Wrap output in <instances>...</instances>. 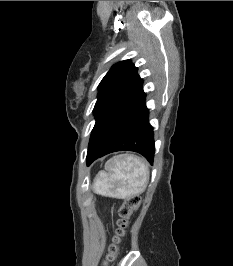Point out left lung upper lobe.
<instances>
[{"instance_id": "5c2ea615", "label": "left lung upper lobe", "mask_w": 233, "mask_h": 266, "mask_svg": "<svg viewBox=\"0 0 233 266\" xmlns=\"http://www.w3.org/2000/svg\"><path fill=\"white\" fill-rule=\"evenodd\" d=\"M137 77V68L131 60L120 61L111 67L98 86V100L93 110L96 123L108 105Z\"/></svg>"}]
</instances>
